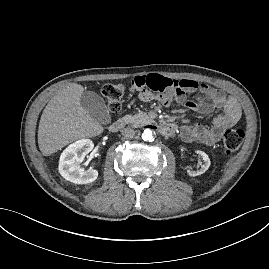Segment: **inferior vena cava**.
<instances>
[{"label":"inferior vena cava","mask_w":269,"mask_h":269,"mask_svg":"<svg viewBox=\"0 0 269 269\" xmlns=\"http://www.w3.org/2000/svg\"><path fill=\"white\" fill-rule=\"evenodd\" d=\"M121 134L128 139H132L135 136V131L131 127H125L121 130Z\"/></svg>","instance_id":"1"}]
</instances>
